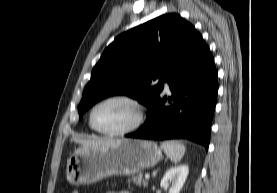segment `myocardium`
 <instances>
[{"instance_id":"1","label":"myocardium","mask_w":277,"mask_h":193,"mask_svg":"<svg viewBox=\"0 0 277 193\" xmlns=\"http://www.w3.org/2000/svg\"><path fill=\"white\" fill-rule=\"evenodd\" d=\"M111 101H123V102H127V103L131 104L132 106H134L136 109V112H137V117H136L135 122L132 125H130L129 127L124 128L119 131H104V130L98 128L94 122V113L100 105L107 103V102H111ZM145 118H146L145 105L139 99H137L133 96L121 94V95H112V96L105 97V98L101 99L100 101H98L97 103H95L89 114V123H90V126L92 127V129L100 134H103L106 136H111V137H121V136L131 134V133L135 132L136 130H138L143 125Z\"/></svg>"}]
</instances>
